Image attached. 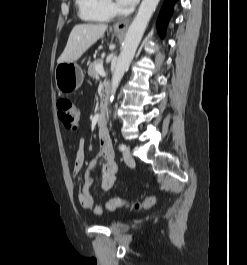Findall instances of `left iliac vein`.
Returning a JSON list of instances; mask_svg holds the SVG:
<instances>
[{
	"instance_id": "4c4485c4",
	"label": "left iliac vein",
	"mask_w": 247,
	"mask_h": 265,
	"mask_svg": "<svg viewBox=\"0 0 247 265\" xmlns=\"http://www.w3.org/2000/svg\"><path fill=\"white\" fill-rule=\"evenodd\" d=\"M123 159H124V162L129 167H133L135 165V161H134L129 149H127V148L123 151Z\"/></svg>"
}]
</instances>
